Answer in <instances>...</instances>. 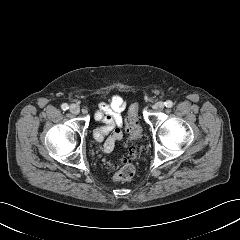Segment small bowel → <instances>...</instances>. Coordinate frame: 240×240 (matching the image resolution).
<instances>
[{
    "mask_svg": "<svg viewBox=\"0 0 240 240\" xmlns=\"http://www.w3.org/2000/svg\"><path fill=\"white\" fill-rule=\"evenodd\" d=\"M125 108V100L120 95H113L109 103H100L94 113L95 120L102 126L94 130L93 138L102 143L105 153L111 152L116 143L123 138L121 113Z\"/></svg>",
    "mask_w": 240,
    "mask_h": 240,
    "instance_id": "small-bowel-1",
    "label": "small bowel"
}]
</instances>
